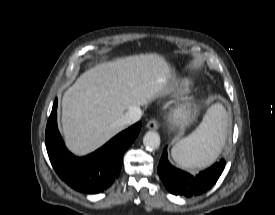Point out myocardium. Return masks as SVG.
Listing matches in <instances>:
<instances>
[{"mask_svg": "<svg viewBox=\"0 0 275 215\" xmlns=\"http://www.w3.org/2000/svg\"><path fill=\"white\" fill-rule=\"evenodd\" d=\"M199 108L197 103L192 100H186L180 103L172 113V119L181 128H187L197 119Z\"/></svg>", "mask_w": 275, "mask_h": 215, "instance_id": "1", "label": "myocardium"}]
</instances>
